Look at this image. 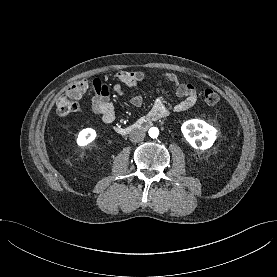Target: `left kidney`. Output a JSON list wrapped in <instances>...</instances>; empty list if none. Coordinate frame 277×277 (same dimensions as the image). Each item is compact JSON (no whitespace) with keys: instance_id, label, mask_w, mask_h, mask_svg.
Instances as JSON below:
<instances>
[{"instance_id":"obj_1","label":"left kidney","mask_w":277,"mask_h":277,"mask_svg":"<svg viewBox=\"0 0 277 277\" xmlns=\"http://www.w3.org/2000/svg\"><path fill=\"white\" fill-rule=\"evenodd\" d=\"M181 131L186 141L194 148L206 150L210 148L217 136V129L204 120L192 119L184 122Z\"/></svg>"}]
</instances>
